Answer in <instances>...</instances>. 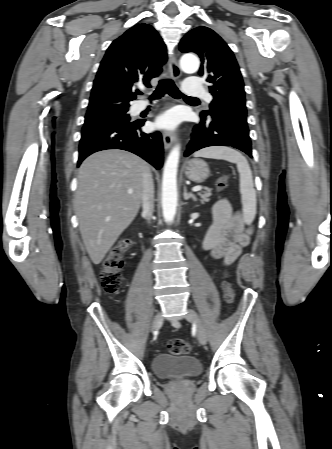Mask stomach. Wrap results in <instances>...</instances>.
Segmentation results:
<instances>
[{
  "label": "stomach",
  "instance_id": "obj_1",
  "mask_svg": "<svg viewBox=\"0 0 332 449\" xmlns=\"http://www.w3.org/2000/svg\"><path fill=\"white\" fill-rule=\"evenodd\" d=\"M184 170L186 177L195 183L205 181L210 175V170L207 163L201 159L189 160L185 164Z\"/></svg>",
  "mask_w": 332,
  "mask_h": 449
}]
</instances>
